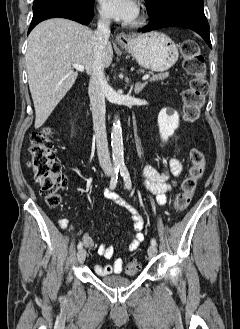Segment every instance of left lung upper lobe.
<instances>
[{
  "label": "left lung upper lobe",
  "instance_id": "obj_1",
  "mask_svg": "<svg viewBox=\"0 0 240 329\" xmlns=\"http://www.w3.org/2000/svg\"><path fill=\"white\" fill-rule=\"evenodd\" d=\"M180 1L203 4V0H146L147 13L150 17H154L156 16L157 13L161 12L165 7Z\"/></svg>",
  "mask_w": 240,
  "mask_h": 329
}]
</instances>
